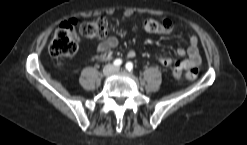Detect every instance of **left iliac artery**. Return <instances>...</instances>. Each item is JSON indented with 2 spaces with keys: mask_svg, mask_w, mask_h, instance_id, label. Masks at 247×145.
Listing matches in <instances>:
<instances>
[{
  "mask_svg": "<svg viewBox=\"0 0 247 145\" xmlns=\"http://www.w3.org/2000/svg\"><path fill=\"white\" fill-rule=\"evenodd\" d=\"M126 69L128 71H132L133 70V64L131 62H127L125 65Z\"/></svg>",
  "mask_w": 247,
  "mask_h": 145,
  "instance_id": "obj_1",
  "label": "left iliac artery"
}]
</instances>
